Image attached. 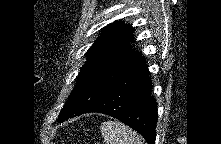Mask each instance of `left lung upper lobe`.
<instances>
[{
	"mask_svg": "<svg viewBox=\"0 0 221 144\" xmlns=\"http://www.w3.org/2000/svg\"><path fill=\"white\" fill-rule=\"evenodd\" d=\"M133 31L131 25L122 21L105 27L86 53L88 59L60 112V122L80 115L93 106L112 83L141 56L140 52L130 48Z\"/></svg>",
	"mask_w": 221,
	"mask_h": 144,
	"instance_id": "5c2ea615",
	"label": "left lung upper lobe"
}]
</instances>
